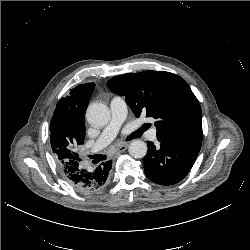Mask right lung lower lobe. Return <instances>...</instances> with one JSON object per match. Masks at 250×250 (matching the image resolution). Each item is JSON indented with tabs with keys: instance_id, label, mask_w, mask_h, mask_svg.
<instances>
[{
	"instance_id": "right-lung-lower-lobe-1",
	"label": "right lung lower lobe",
	"mask_w": 250,
	"mask_h": 250,
	"mask_svg": "<svg viewBox=\"0 0 250 250\" xmlns=\"http://www.w3.org/2000/svg\"><path fill=\"white\" fill-rule=\"evenodd\" d=\"M111 165V161H106L96 168H85L81 160L58 162L59 169L67 182L85 194L100 191L107 185Z\"/></svg>"
}]
</instances>
